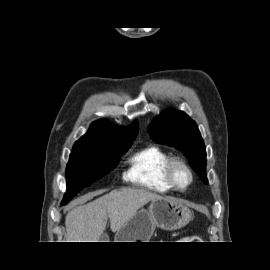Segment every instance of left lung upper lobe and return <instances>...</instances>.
Wrapping results in <instances>:
<instances>
[{
    "mask_svg": "<svg viewBox=\"0 0 270 270\" xmlns=\"http://www.w3.org/2000/svg\"><path fill=\"white\" fill-rule=\"evenodd\" d=\"M150 137L158 143L174 146L190 158V165L198 176L206 178V151L196 123L181 111H169L159 116L148 129Z\"/></svg>",
    "mask_w": 270,
    "mask_h": 270,
    "instance_id": "left-lung-upper-lobe-1",
    "label": "left lung upper lobe"
}]
</instances>
